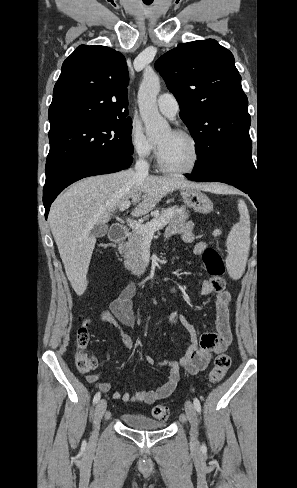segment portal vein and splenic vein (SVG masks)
Returning a JSON list of instances; mask_svg holds the SVG:
<instances>
[{
	"label": "portal vein and splenic vein",
	"instance_id": "18ae733b",
	"mask_svg": "<svg viewBox=\"0 0 297 488\" xmlns=\"http://www.w3.org/2000/svg\"><path fill=\"white\" fill-rule=\"evenodd\" d=\"M131 205L129 200L123 202L119 206L120 211H124L128 209ZM128 225L133 230L141 233L146 239H152L154 232L165 227L168 223V215L165 213L161 215L159 218L153 219L151 222L147 224H141L135 220L128 219Z\"/></svg>",
	"mask_w": 297,
	"mask_h": 488
}]
</instances>
